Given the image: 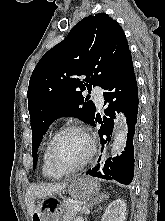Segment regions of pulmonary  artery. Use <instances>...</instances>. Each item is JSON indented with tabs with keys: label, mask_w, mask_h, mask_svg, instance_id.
I'll return each mask as SVG.
<instances>
[{
	"label": "pulmonary artery",
	"mask_w": 165,
	"mask_h": 221,
	"mask_svg": "<svg viewBox=\"0 0 165 221\" xmlns=\"http://www.w3.org/2000/svg\"><path fill=\"white\" fill-rule=\"evenodd\" d=\"M93 96H94V100L96 102V105L100 108L104 102L103 91L100 88H96L93 91Z\"/></svg>",
	"instance_id": "1"
}]
</instances>
